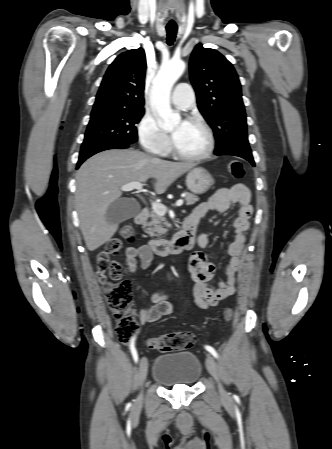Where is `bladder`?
I'll return each instance as SVG.
<instances>
[{
    "label": "bladder",
    "mask_w": 332,
    "mask_h": 449,
    "mask_svg": "<svg viewBox=\"0 0 332 449\" xmlns=\"http://www.w3.org/2000/svg\"><path fill=\"white\" fill-rule=\"evenodd\" d=\"M202 375V364L192 352H174L156 357L152 378L166 387L192 386Z\"/></svg>",
    "instance_id": "1"
}]
</instances>
